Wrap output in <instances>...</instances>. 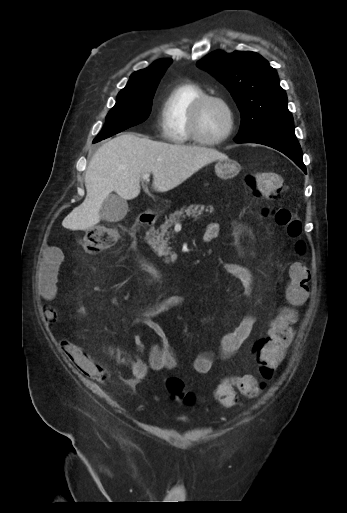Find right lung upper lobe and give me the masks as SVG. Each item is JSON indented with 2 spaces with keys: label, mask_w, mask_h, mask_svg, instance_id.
Here are the masks:
<instances>
[{
  "label": "right lung upper lobe",
  "mask_w": 347,
  "mask_h": 513,
  "mask_svg": "<svg viewBox=\"0 0 347 513\" xmlns=\"http://www.w3.org/2000/svg\"><path fill=\"white\" fill-rule=\"evenodd\" d=\"M171 62V59H160L155 61L148 68L134 72L123 90H134L147 84L160 81Z\"/></svg>",
  "instance_id": "cb5924a9"
}]
</instances>
